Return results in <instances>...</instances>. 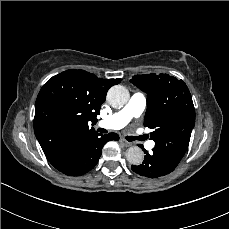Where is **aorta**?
Wrapping results in <instances>:
<instances>
[{"instance_id": "obj_1", "label": "aorta", "mask_w": 229, "mask_h": 229, "mask_svg": "<svg viewBox=\"0 0 229 229\" xmlns=\"http://www.w3.org/2000/svg\"><path fill=\"white\" fill-rule=\"evenodd\" d=\"M129 98V91L122 85L112 86L107 93L108 103L115 108L123 107ZM126 159L132 165H140L144 160V152L138 146L129 147L126 151Z\"/></svg>"}]
</instances>
